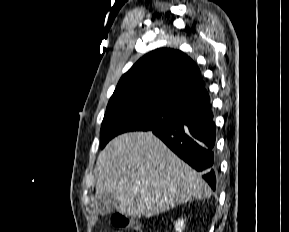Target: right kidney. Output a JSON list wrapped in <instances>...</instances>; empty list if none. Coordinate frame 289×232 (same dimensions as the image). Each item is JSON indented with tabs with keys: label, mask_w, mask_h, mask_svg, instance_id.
Returning <instances> with one entry per match:
<instances>
[{
	"label": "right kidney",
	"mask_w": 289,
	"mask_h": 232,
	"mask_svg": "<svg viewBox=\"0 0 289 232\" xmlns=\"http://www.w3.org/2000/svg\"><path fill=\"white\" fill-rule=\"evenodd\" d=\"M185 227V221L184 219H179L176 223H175V229L176 232H182V230Z\"/></svg>",
	"instance_id": "ca27d5eb"
}]
</instances>
